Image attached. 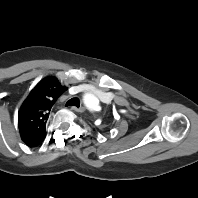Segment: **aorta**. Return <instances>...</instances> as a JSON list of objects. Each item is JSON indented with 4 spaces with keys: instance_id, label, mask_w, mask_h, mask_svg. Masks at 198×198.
I'll return each mask as SVG.
<instances>
[{
    "instance_id": "obj_1",
    "label": "aorta",
    "mask_w": 198,
    "mask_h": 198,
    "mask_svg": "<svg viewBox=\"0 0 198 198\" xmlns=\"http://www.w3.org/2000/svg\"><path fill=\"white\" fill-rule=\"evenodd\" d=\"M84 103L86 104L87 107L91 108V109H95L98 106V99L89 93H86L83 97Z\"/></svg>"
}]
</instances>
